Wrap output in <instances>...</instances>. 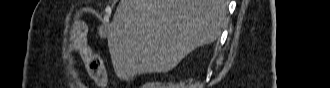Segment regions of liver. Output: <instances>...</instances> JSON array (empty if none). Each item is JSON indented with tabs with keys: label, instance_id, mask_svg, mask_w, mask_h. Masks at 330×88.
<instances>
[{
	"label": "liver",
	"instance_id": "1",
	"mask_svg": "<svg viewBox=\"0 0 330 88\" xmlns=\"http://www.w3.org/2000/svg\"><path fill=\"white\" fill-rule=\"evenodd\" d=\"M225 0H121L105 36L120 79L167 72L221 34Z\"/></svg>",
	"mask_w": 330,
	"mask_h": 88
}]
</instances>
